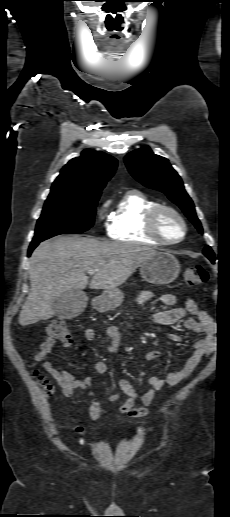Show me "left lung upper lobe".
<instances>
[{"label": "left lung upper lobe", "instance_id": "1", "mask_svg": "<svg viewBox=\"0 0 230 517\" xmlns=\"http://www.w3.org/2000/svg\"><path fill=\"white\" fill-rule=\"evenodd\" d=\"M124 160L129 172L137 181L148 188L165 193L183 210L198 231L203 232L201 223L196 216L194 204L186 193L180 176L166 158L155 155L146 146L128 153ZM203 254L214 263L215 256L209 246L204 248Z\"/></svg>", "mask_w": 230, "mask_h": 517}]
</instances>
